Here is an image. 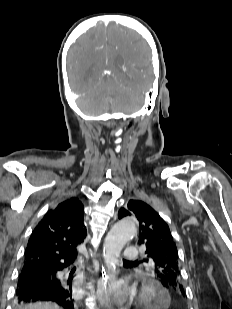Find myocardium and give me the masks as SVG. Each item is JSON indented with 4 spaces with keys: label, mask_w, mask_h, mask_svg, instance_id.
<instances>
[{
    "label": "myocardium",
    "mask_w": 232,
    "mask_h": 309,
    "mask_svg": "<svg viewBox=\"0 0 232 309\" xmlns=\"http://www.w3.org/2000/svg\"><path fill=\"white\" fill-rule=\"evenodd\" d=\"M158 289L152 282H145L140 289L138 296V305L140 307H150L158 296Z\"/></svg>",
    "instance_id": "1"
}]
</instances>
